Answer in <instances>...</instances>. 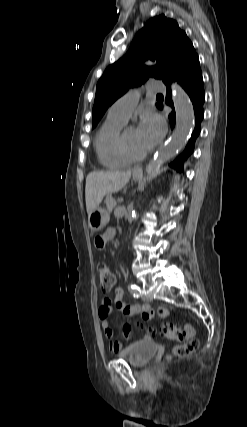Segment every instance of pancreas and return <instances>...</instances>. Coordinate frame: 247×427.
<instances>
[{"label": "pancreas", "instance_id": "pancreas-1", "mask_svg": "<svg viewBox=\"0 0 247 427\" xmlns=\"http://www.w3.org/2000/svg\"><path fill=\"white\" fill-rule=\"evenodd\" d=\"M105 202H106L107 210L109 212H111L112 209L115 208L116 206V201L111 195H107Z\"/></svg>", "mask_w": 247, "mask_h": 427}]
</instances>
